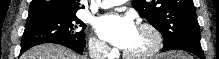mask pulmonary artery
Returning <instances> with one entry per match:
<instances>
[{"label":"pulmonary artery","mask_w":219,"mask_h":59,"mask_svg":"<svg viewBox=\"0 0 219 59\" xmlns=\"http://www.w3.org/2000/svg\"><path fill=\"white\" fill-rule=\"evenodd\" d=\"M125 2L126 1H124V0H104V1H101L100 7L108 8V7H112V6L123 4Z\"/></svg>","instance_id":"pulmonary-artery-1"}]
</instances>
